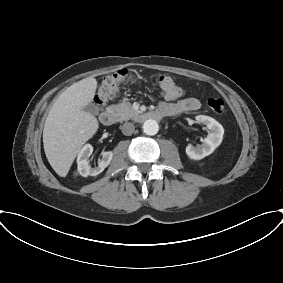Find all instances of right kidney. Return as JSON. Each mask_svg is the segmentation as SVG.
<instances>
[{
  "mask_svg": "<svg viewBox=\"0 0 283 283\" xmlns=\"http://www.w3.org/2000/svg\"><path fill=\"white\" fill-rule=\"evenodd\" d=\"M93 152V147L90 144H86L80 151L77 157V168L80 175L83 177L96 176L100 174L112 160L113 153L111 151L102 152V158L98 162V166L92 168L89 165V157Z\"/></svg>",
  "mask_w": 283,
  "mask_h": 283,
  "instance_id": "right-kidney-1",
  "label": "right kidney"
}]
</instances>
